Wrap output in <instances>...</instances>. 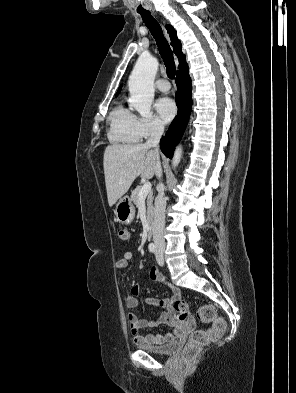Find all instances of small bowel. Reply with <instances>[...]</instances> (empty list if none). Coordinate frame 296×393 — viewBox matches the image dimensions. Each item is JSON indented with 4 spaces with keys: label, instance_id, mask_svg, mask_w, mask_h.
Here are the masks:
<instances>
[{
    "label": "small bowel",
    "instance_id": "obj_1",
    "mask_svg": "<svg viewBox=\"0 0 296 393\" xmlns=\"http://www.w3.org/2000/svg\"><path fill=\"white\" fill-rule=\"evenodd\" d=\"M133 259V254L131 252H126L122 258L116 262V268L120 271L126 270L130 267ZM149 278L159 282L162 285L169 286L167 281V276L158 268H153L149 272ZM173 295L172 297H166L163 299H155L151 297L145 298V303L154 307H162L164 311L160 314L157 319L154 318H140L135 309L139 306V291L140 286L134 285L126 298V306L131 311L128 313V319L130 322V330L132 338L137 345L148 344V345H160L168 341H172L175 338L185 335L194 329V321L190 318L186 322H179L175 319L173 313V304L177 299H181V293L178 288L169 286ZM161 324H168L173 326V331L166 333L164 335H158L155 333H149L143 335L141 329L143 328H153Z\"/></svg>",
    "mask_w": 296,
    "mask_h": 393
}]
</instances>
